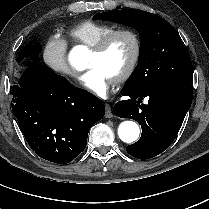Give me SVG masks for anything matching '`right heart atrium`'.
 <instances>
[{
    "label": "right heart atrium",
    "instance_id": "1",
    "mask_svg": "<svg viewBox=\"0 0 209 209\" xmlns=\"http://www.w3.org/2000/svg\"><path fill=\"white\" fill-rule=\"evenodd\" d=\"M67 41L58 34L49 36L43 46V60L58 75L75 78L76 71L67 59Z\"/></svg>",
    "mask_w": 209,
    "mask_h": 209
}]
</instances>
